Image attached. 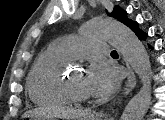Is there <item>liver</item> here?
<instances>
[{
  "mask_svg": "<svg viewBox=\"0 0 165 120\" xmlns=\"http://www.w3.org/2000/svg\"><path fill=\"white\" fill-rule=\"evenodd\" d=\"M88 115V111L75 110L73 108L56 107L52 109H34L24 113L23 117H58L66 120H79Z\"/></svg>",
  "mask_w": 165,
  "mask_h": 120,
  "instance_id": "1",
  "label": "liver"
}]
</instances>
